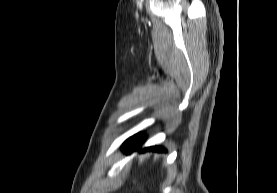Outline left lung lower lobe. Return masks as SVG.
Masks as SVG:
<instances>
[{
	"label": "left lung lower lobe",
	"mask_w": 277,
	"mask_h": 193,
	"mask_svg": "<svg viewBox=\"0 0 277 193\" xmlns=\"http://www.w3.org/2000/svg\"><path fill=\"white\" fill-rule=\"evenodd\" d=\"M146 137L142 134V133H138L130 138H128L121 146V149L125 152V153H131L134 150H138L140 149L142 143L145 141ZM146 150H154V151H165V149L163 147H148V148H144L141 151H146Z\"/></svg>",
	"instance_id": "0a47b994"
}]
</instances>
